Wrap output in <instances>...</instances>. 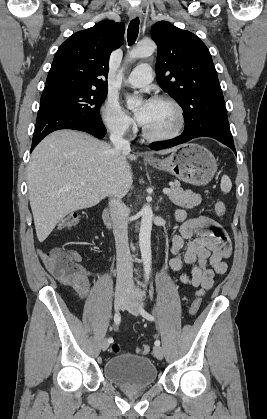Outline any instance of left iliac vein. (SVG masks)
<instances>
[{
	"label": "left iliac vein",
	"mask_w": 267,
	"mask_h": 419,
	"mask_svg": "<svg viewBox=\"0 0 267 419\" xmlns=\"http://www.w3.org/2000/svg\"><path fill=\"white\" fill-rule=\"evenodd\" d=\"M123 306L135 316L139 315L140 308H142L141 305L136 302V297L134 293L128 295ZM153 354L157 359H163V349L160 346H155L153 348Z\"/></svg>",
	"instance_id": "1"
}]
</instances>
